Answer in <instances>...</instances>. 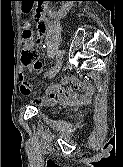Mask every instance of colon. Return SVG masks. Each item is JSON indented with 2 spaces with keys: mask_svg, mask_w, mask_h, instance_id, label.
<instances>
[{
  "mask_svg": "<svg viewBox=\"0 0 123 167\" xmlns=\"http://www.w3.org/2000/svg\"><path fill=\"white\" fill-rule=\"evenodd\" d=\"M35 18L37 20V30L34 31L31 28H27L24 31L23 48L21 51V63L23 65H31L33 67L40 66L41 62L39 59V52L36 48L41 34L45 30V25L43 23V12L40 8L35 10Z\"/></svg>",
  "mask_w": 123,
  "mask_h": 167,
  "instance_id": "1",
  "label": "colon"
}]
</instances>
